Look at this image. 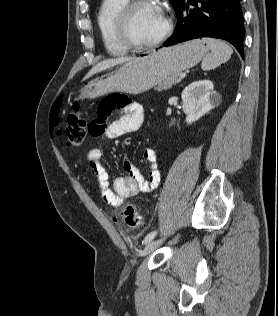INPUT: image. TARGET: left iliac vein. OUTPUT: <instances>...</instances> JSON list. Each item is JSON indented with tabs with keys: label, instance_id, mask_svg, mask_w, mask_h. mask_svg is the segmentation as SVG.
Segmentation results:
<instances>
[{
	"label": "left iliac vein",
	"instance_id": "1",
	"mask_svg": "<svg viewBox=\"0 0 278 316\" xmlns=\"http://www.w3.org/2000/svg\"><path fill=\"white\" fill-rule=\"evenodd\" d=\"M163 242V239H158V240H153L150 241L145 248L143 249V251L141 252L142 256H147L150 253H152L154 250H156Z\"/></svg>",
	"mask_w": 278,
	"mask_h": 316
}]
</instances>
